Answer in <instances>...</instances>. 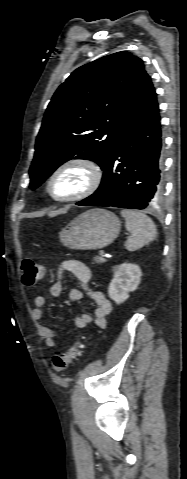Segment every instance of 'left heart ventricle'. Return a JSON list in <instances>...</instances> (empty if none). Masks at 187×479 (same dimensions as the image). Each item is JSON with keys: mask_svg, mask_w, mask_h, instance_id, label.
Listing matches in <instances>:
<instances>
[{"mask_svg": "<svg viewBox=\"0 0 187 479\" xmlns=\"http://www.w3.org/2000/svg\"><path fill=\"white\" fill-rule=\"evenodd\" d=\"M86 174L80 168L62 173L53 183L52 192L58 197H67L79 190L85 183Z\"/></svg>", "mask_w": 187, "mask_h": 479, "instance_id": "1", "label": "left heart ventricle"}]
</instances>
